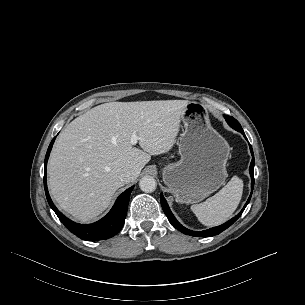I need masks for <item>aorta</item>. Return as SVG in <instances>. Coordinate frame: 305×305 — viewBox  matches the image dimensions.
<instances>
[{"mask_svg":"<svg viewBox=\"0 0 305 305\" xmlns=\"http://www.w3.org/2000/svg\"><path fill=\"white\" fill-rule=\"evenodd\" d=\"M139 187L143 192L151 193L156 190L157 183L152 176H144L139 182Z\"/></svg>","mask_w":305,"mask_h":305,"instance_id":"1","label":"aorta"}]
</instances>
